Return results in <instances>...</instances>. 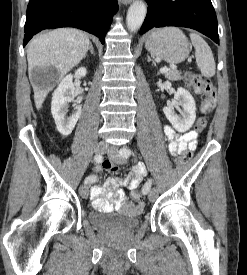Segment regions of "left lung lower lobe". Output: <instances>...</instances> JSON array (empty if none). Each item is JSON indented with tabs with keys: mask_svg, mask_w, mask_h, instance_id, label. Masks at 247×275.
Returning a JSON list of instances; mask_svg holds the SVG:
<instances>
[{
	"mask_svg": "<svg viewBox=\"0 0 247 275\" xmlns=\"http://www.w3.org/2000/svg\"><path fill=\"white\" fill-rule=\"evenodd\" d=\"M148 11L140 34L153 27L195 29L219 43L216 13L211 0H146Z\"/></svg>",
	"mask_w": 247,
	"mask_h": 275,
	"instance_id": "left-lung-lower-lobe-1",
	"label": "left lung lower lobe"
}]
</instances>
